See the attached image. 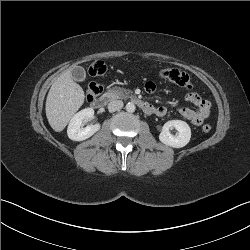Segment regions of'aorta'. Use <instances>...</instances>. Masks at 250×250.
Masks as SVG:
<instances>
[{"label": "aorta", "instance_id": "762f6f07", "mask_svg": "<svg viewBox=\"0 0 250 250\" xmlns=\"http://www.w3.org/2000/svg\"><path fill=\"white\" fill-rule=\"evenodd\" d=\"M136 107L134 105V103L129 102L126 104V111L129 113H133L135 111Z\"/></svg>", "mask_w": 250, "mask_h": 250}]
</instances>
